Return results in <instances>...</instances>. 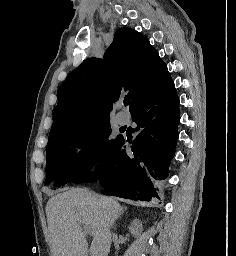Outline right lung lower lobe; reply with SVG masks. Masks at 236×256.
I'll use <instances>...</instances> for the list:
<instances>
[{
    "label": "right lung lower lobe",
    "instance_id": "right-lung-lower-lobe-1",
    "mask_svg": "<svg viewBox=\"0 0 236 256\" xmlns=\"http://www.w3.org/2000/svg\"><path fill=\"white\" fill-rule=\"evenodd\" d=\"M131 116L137 123L138 135L130 145L122 136L104 162L72 182L99 180L112 196L141 201L154 196L159 199L158 186L168 176L178 140L179 98L174 82L136 106Z\"/></svg>",
    "mask_w": 236,
    "mask_h": 256
}]
</instances>
